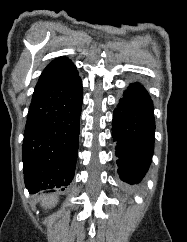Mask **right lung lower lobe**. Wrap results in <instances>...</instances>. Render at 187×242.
Masks as SVG:
<instances>
[{"label": "right lung lower lobe", "mask_w": 187, "mask_h": 242, "mask_svg": "<svg viewBox=\"0 0 187 242\" xmlns=\"http://www.w3.org/2000/svg\"><path fill=\"white\" fill-rule=\"evenodd\" d=\"M78 73L35 89L23 139V172L30 194L68 186L74 177L83 98Z\"/></svg>", "instance_id": "1"}]
</instances>
